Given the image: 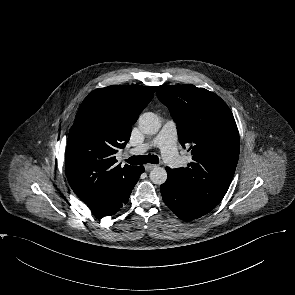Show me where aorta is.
I'll return each mask as SVG.
<instances>
[{
  "label": "aorta",
  "instance_id": "aorta-1",
  "mask_svg": "<svg viewBox=\"0 0 295 295\" xmlns=\"http://www.w3.org/2000/svg\"><path fill=\"white\" fill-rule=\"evenodd\" d=\"M160 127V119L155 113L146 112L139 117V128L145 134L154 135ZM149 177L154 184L161 185L167 180V172L164 168L156 166L150 171Z\"/></svg>",
  "mask_w": 295,
  "mask_h": 295
}]
</instances>
